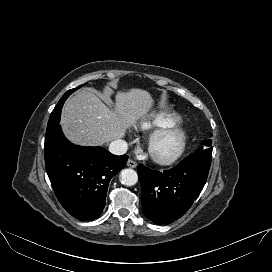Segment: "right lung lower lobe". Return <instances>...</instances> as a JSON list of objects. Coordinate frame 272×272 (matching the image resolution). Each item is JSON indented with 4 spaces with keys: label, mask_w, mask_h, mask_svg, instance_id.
Returning <instances> with one entry per match:
<instances>
[{
    "label": "right lung lower lobe",
    "mask_w": 272,
    "mask_h": 272,
    "mask_svg": "<svg viewBox=\"0 0 272 272\" xmlns=\"http://www.w3.org/2000/svg\"><path fill=\"white\" fill-rule=\"evenodd\" d=\"M44 151L47 174L65 210L79 220L98 218L109 182L124 168L128 156L113 155L102 147L73 145L59 124L46 131Z\"/></svg>",
    "instance_id": "obj_1"
}]
</instances>
